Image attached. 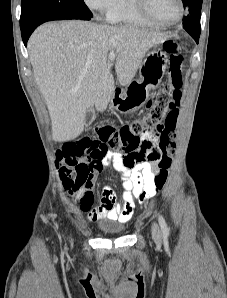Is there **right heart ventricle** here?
Here are the masks:
<instances>
[{
  "instance_id": "e07e8e85",
  "label": "right heart ventricle",
  "mask_w": 227,
  "mask_h": 298,
  "mask_svg": "<svg viewBox=\"0 0 227 298\" xmlns=\"http://www.w3.org/2000/svg\"><path fill=\"white\" fill-rule=\"evenodd\" d=\"M110 23L132 27H155L138 12L135 0H116L114 6L105 14Z\"/></svg>"
}]
</instances>
